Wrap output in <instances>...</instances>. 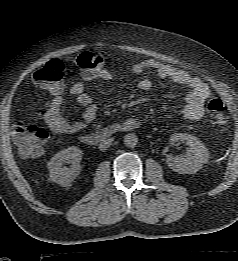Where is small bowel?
<instances>
[{
	"label": "small bowel",
	"mask_w": 238,
	"mask_h": 261,
	"mask_svg": "<svg viewBox=\"0 0 238 261\" xmlns=\"http://www.w3.org/2000/svg\"><path fill=\"white\" fill-rule=\"evenodd\" d=\"M148 69L155 70L160 78H168L190 90L181 111L183 120L197 121L202 118L205 103L210 97V90L205 82L185 70L156 59L142 60L132 67L134 73H142ZM112 77L113 74L109 69L101 68L93 73H83L82 81L76 82L70 87V94L75 97L76 103L83 107L81 117L76 121H71L65 116L62 93H53V98L46 103L43 111V119L49 129L55 134H73L85 129L97 114L96 104L85 93V82L96 79L111 80ZM138 87L142 91H148L152 88V80L147 77L143 78L139 81ZM129 121L135 126L138 125L135 120Z\"/></svg>",
	"instance_id": "small-bowel-1"
}]
</instances>
